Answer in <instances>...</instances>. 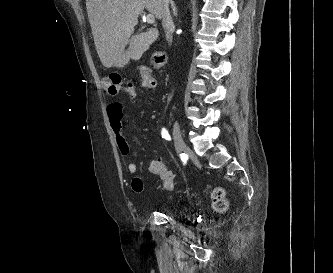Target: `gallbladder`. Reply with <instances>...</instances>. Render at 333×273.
I'll return each instance as SVG.
<instances>
[{"mask_svg": "<svg viewBox=\"0 0 333 273\" xmlns=\"http://www.w3.org/2000/svg\"><path fill=\"white\" fill-rule=\"evenodd\" d=\"M148 47L149 43L146 40L145 34L133 36L130 39L128 50L115 65L122 68L129 63L130 59L139 60Z\"/></svg>", "mask_w": 333, "mask_h": 273, "instance_id": "1", "label": "gallbladder"}]
</instances>
